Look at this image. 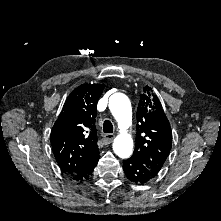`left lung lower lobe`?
Segmentation results:
<instances>
[{
	"label": "left lung lower lobe",
	"instance_id": "left-lung-lower-lobe-1",
	"mask_svg": "<svg viewBox=\"0 0 221 221\" xmlns=\"http://www.w3.org/2000/svg\"><path fill=\"white\" fill-rule=\"evenodd\" d=\"M123 170L130 181L138 184H145L157 175L132 157L123 161Z\"/></svg>",
	"mask_w": 221,
	"mask_h": 221
}]
</instances>
